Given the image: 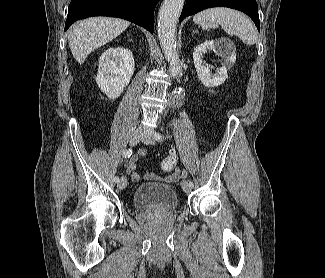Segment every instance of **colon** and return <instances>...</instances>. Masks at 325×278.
<instances>
[{
    "instance_id": "5ec220e1",
    "label": "colon",
    "mask_w": 325,
    "mask_h": 278,
    "mask_svg": "<svg viewBox=\"0 0 325 278\" xmlns=\"http://www.w3.org/2000/svg\"><path fill=\"white\" fill-rule=\"evenodd\" d=\"M177 158L174 154H171L162 161L161 168L164 172H172L176 166Z\"/></svg>"
}]
</instances>
